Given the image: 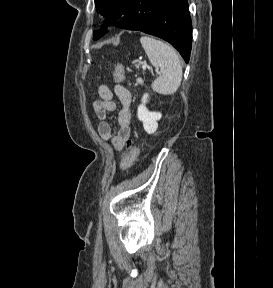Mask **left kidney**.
I'll list each match as a JSON object with an SVG mask.
<instances>
[{
  "label": "left kidney",
  "mask_w": 273,
  "mask_h": 288,
  "mask_svg": "<svg viewBox=\"0 0 273 288\" xmlns=\"http://www.w3.org/2000/svg\"><path fill=\"white\" fill-rule=\"evenodd\" d=\"M149 95L145 93L142 97V103L138 106L137 116L140 121L143 123V128L148 134H153L158 128V123L162 117V114L159 112H150L145 104L147 103Z\"/></svg>",
  "instance_id": "5707ae66"
}]
</instances>
